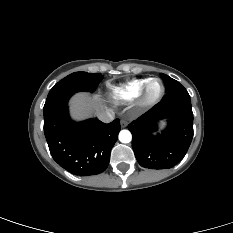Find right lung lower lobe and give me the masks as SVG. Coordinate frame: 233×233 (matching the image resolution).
Segmentation results:
<instances>
[{
    "instance_id": "98d812e1",
    "label": "right lung lower lobe",
    "mask_w": 233,
    "mask_h": 233,
    "mask_svg": "<svg viewBox=\"0 0 233 233\" xmlns=\"http://www.w3.org/2000/svg\"><path fill=\"white\" fill-rule=\"evenodd\" d=\"M70 97L44 105V133L53 159L79 176L96 175L108 167L117 141L120 121L105 124L97 119L73 122L68 114Z\"/></svg>"
}]
</instances>
